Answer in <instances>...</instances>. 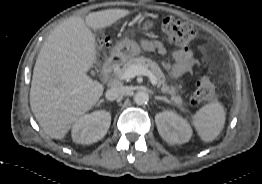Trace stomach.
Listing matches in <instances>:
<instances>
[{
	"label": "stomach",
	"mask_w": 262,
	"mask_h": 184,
	"mask_svg": "<svg viewBox=\"0 0 262 184\" xmlns=\"http://www.w3.org/2000/svg\"><path fill=\"white\" fill-rule=\"evenodd\" d=\"M144 30H150L154 27L152 20H146L141 24ZM141 53V47L139 44L131 39H123L118 42L112 50L111 58L119 59L120 61H126Z\"/></svg>",
	"instance_id": "obj_1"
}]
</instances>
